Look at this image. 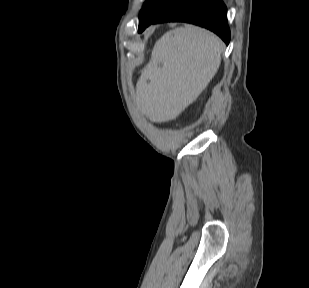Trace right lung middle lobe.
<instances>
[{"instance_id":"right-lung-middle-lobe-1","label":"right lung middle lobe","mask_w":309,"mask_h":288,"mask_svg":"<svg viewBox=\"0 0 309 288\" xmlns=\"http://www.w3.org/2000/svg\"><path fill=\"white\" fill-rule=\"evenodd\" d=\"M180 1L181 0H148L144 9L140 12L138 31L145 29L160 14L177 5Z\"/></svg>"}]
</instances>
